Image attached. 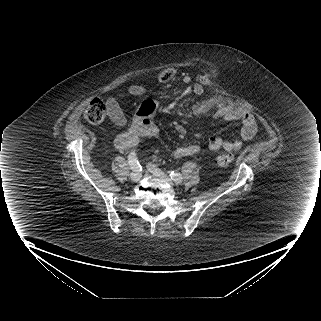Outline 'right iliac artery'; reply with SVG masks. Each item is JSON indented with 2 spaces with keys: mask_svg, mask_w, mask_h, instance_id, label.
<instances>
[{
  "mask_svg": "<svg viewBox=\"0 0 321 321\" xmlns=\"http://www.w3.org/2000/svg\"><path fill=\"white\" fill-rule=\"evenodd\" d=\"M128 164L130 165L131 169L134 171L141 170L140 164L137 160L136 153L133 151L128 156Z\"/></svg>",
  "mask_w": 321,
  "mask_h": 321,
  "instance_id": "obj_1",
  "label": "right iliac artery"
}]
</instances>
